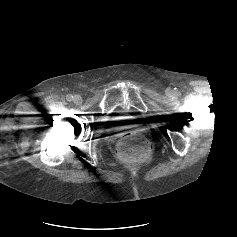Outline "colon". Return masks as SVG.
I'll use <instances>...</instances> for the list:
<instances>
[{
	"label": "colon",
	"mask_w": 237,
	"mask_h": 237,
	"mask_svg": "<svg viewBox=\"0 0 237 237\" xmlns=\"http://www.w3.org/2000/svg\"><path fill=\"white\" fill-rule=\"evenodd\" d=\"M151 153V146L147 139L138 132L125 134L117 144L118 156L128 162L147 159Z\"/></svg>",
	"instance_id": "colon-1"
}]
</instances>
